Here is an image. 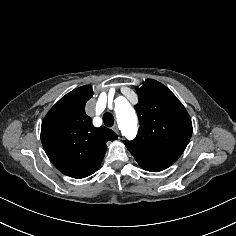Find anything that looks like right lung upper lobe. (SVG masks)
<instances>
[{
  "label": "right lung upper lobe",
  "instance_id": "cb5924a9",
  "mask_svg": "<svg viewBox=\"0 0 236 236\" xmlns=\"http://www.w3.org/2000/svg\"><path fill=\"white\" fill-rule=\"evenodd\" d=\"M92 96L89 85L74 89L42 121L41 141L46 154L58 170L73 178L93 174L106 153V142L118 138L111 129L95 128L85 114V104Z\"/></svg>",
  "mask_w": 236,
  "mask_h": 236
}]
</instances>
